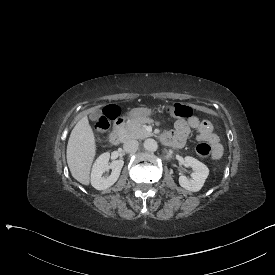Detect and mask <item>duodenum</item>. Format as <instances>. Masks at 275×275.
Wrapping results in <instances>:
<instances>
[{
    "label": "duodenum",
    "instance_id": "410a0bca",
    "mask_svg": "<svg viewBox=\"0 0 275 275\" xmlns=\"http://www.w3.org/2000/svg\"><path fill=\"white\" fill-rule=\"evenodd\" d=\"M124 122H125V119L123 117H121L118 120H116V122L114 124V128L109 136V141L114 146L118 145L121 142V138H122L121 129H122ZM162 139L166 143L170 142L165 137H163Z\"/></svg>",
    "mask_w": 275,
    "mask_h": 275
}]
</instances>
